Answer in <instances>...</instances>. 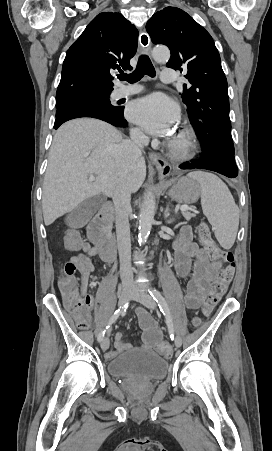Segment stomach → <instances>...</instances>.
<instances>
[{"label": "stomach", "instance_id": "0dacf381", "mask_svg": "<svg viewBox=\"0 0 272 451\" xmlns=\"http://www.w3.org/2000/svg\"><path fill=\"white\" fill-rule=\"evenodd\" d=\"M160 178H165V176H160ZM168 194L172 200L180 202V204H195L201 196V188L198 182L191 178H178Z\"/></svg>", "mask_w": 272, "mask_h": 451}]
</instances>
